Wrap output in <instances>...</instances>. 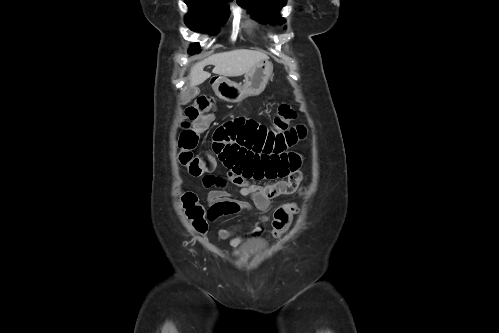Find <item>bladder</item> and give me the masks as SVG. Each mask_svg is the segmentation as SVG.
Returning a JSON list of instances; mask_svg holds the SVG:
<instances>
[{
    "label": "bladder",
    "mask_w": 499,
    "mask_h": 333,
    "mask_svg": "<svg viewBox=\"0 0 499 333\" xmlns=\"http://www.w3.org/2000/svg\"><path fill=\"white\" fill-rule=\"evenodd\" d=\"M268 243L265 239H256L245 245H243L240 250L246 253H259L266 249Z\"/></svg>",
    "instance_id": "31cf9c89"
}]
</instances>
